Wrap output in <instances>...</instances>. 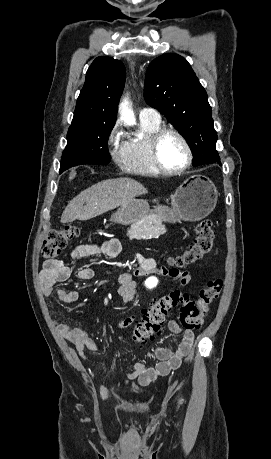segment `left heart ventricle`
Listing matches in <instances>:
<instances>
[{"label":"left heart ventricle","mask_w":271,"mask_h":459,"mask_svg":"<svg viewBox=\"0 0 271 459\" xmlns=\"http://www.w3.org/2000/svg\"><path fill=\"white\" fill-rule=\"evenodd\" d=\"M160 153L163 162L172 168L181 167L188 160L186 145L175 134H167L163 137L160 144Z\"/></svg>","instance_id":"left-heart-ventricle-1"}]
</instances>
